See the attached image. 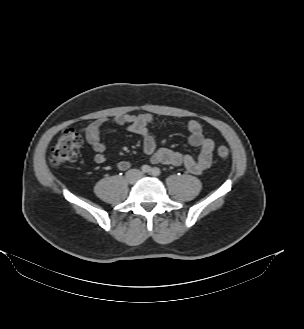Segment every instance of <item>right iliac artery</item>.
I'll return each instance as SVG.
<instances>
[{"mask_svg":"<svg viewBox=\"0 0 304 329\" xmlns=\"http://www.w3.org/2000/svg\"><path fill=\"white\" fill-rule=\"evenodd\" d=\"M141 171H142L143 173H150V172L152 171V169H151V167L148 166V165H143V166L141 167Z\"/></svg>","mask_w":304,"mask_h":329,"instance_id":"right-iliac-artery-1","label":"right iliac artery"}]
</instances>
